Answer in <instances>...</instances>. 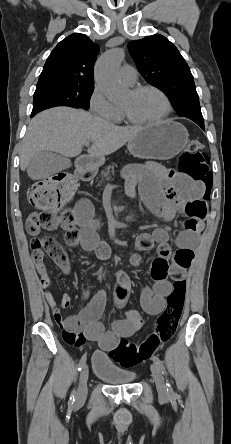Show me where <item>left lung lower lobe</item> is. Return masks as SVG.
I'll list each match as a JSON object with an SVG mask.
<instances>
[{
	"instance_id": "1",
	"label": "left lung lower lobe",
	"mask_w": 231,
	"mask_h": 444,
	"mask_svg": "<svg viewBox=\"0 0 231 444\" xmlns=\"http://www.w3.org/2000/svg\"><path fill=\"white\" fill-rule=\"evenodd\" d=\"M203 130L205 129L204 127V122H196Z\"/></svg>"
}]
</instances>
